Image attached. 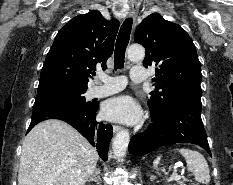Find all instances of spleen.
I'll return each instance as SVG.
<instances>
[{
	"label": "spleen",
	"instance_id": "1",
	"mask_svg": "<svg viewBox=\"0 0 233 185\" xmlns=\"http://www.w3.org/2000/svg\"><path fill=\"white\" fill-rule=\"evenodd\" d=\"M177 151L185 158L187 169L193 173L195 180L203 184H208L210 182V170L204 156L198 151L187 148H180L177 149ZM160 159L161 156H158L153 162V165L156 169Z\"/></svg>",
	"mask_w": 233,
	"mask_h": 185
}]
</instances>
